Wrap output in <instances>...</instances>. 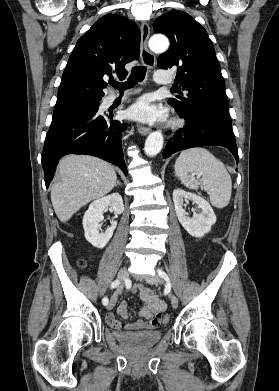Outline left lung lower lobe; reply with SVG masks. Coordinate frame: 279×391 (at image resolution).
Segmentation results:
<instances>
[{"instance_id":"obj_1","label":"left lung lower lobe","mask_w":279,"mask_h":391,"mask_svg":"<svg viewBox=\"0 0 279 391\" xmlns=\"http://www.w3.org/2000/svg\"><path fill=\"white\" fill-rule=\"evenodd\" d=\"M177 113L185 119V126L179 129L174 139L166 145L163 152L164 159L187 148L220 145L229 149L238 162L239 156L231 118L207 108H195L189 112L177 111Z\"/></svg>"}]
</instances>
